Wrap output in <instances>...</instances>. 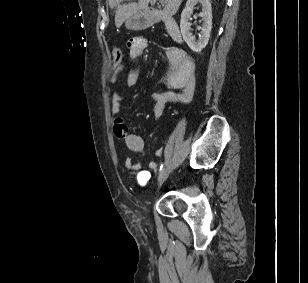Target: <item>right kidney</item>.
<instances>
[{
    "label": "right kidney",
    "mask_w": 308,
    "mask_h": 283,
    "mask_svg": "<svg viewBox=\"0 0 308 283\" xmlns=\"http://www.w3.org/2000/svg\"><path fill=\"white\" fill-rule=\"evenodd\" d=\"M198 3L202 5V12L199 16L202 18L203 24L202 27H198L200 34L198 41H196L190 32L191 23L189 20H191L193 8ZM180 29L182 37L189 48L196 53L201 52L208 44L212 29V8L210 0H188L181 14Z\"/></svg>",
    "instance_id": "ca27d5eb"
}]
</instances>
